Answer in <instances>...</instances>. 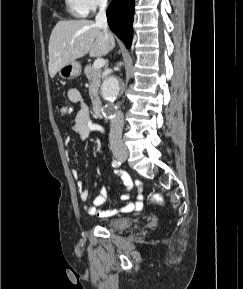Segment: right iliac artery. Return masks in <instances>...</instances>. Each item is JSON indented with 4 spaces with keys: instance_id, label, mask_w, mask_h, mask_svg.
Returning a JSON list of instances; mask_svg holds the SVG:
<instances>
[{
    "instance_id": "right-iliac-artery-1",
    "label": "right iliac artery",
    "mask_w": 243,
    "mask_h": 289,
    "mask_svg": "<svg viewBox=\"0 0 243 289\" xmlns=\"http://www.w3.org/2000/svg\"><path fill=\"white\" fill-rule=\"evenodd\" d=\"M120 165H121L120 161H118V160H113L112 161V166L113 167H119Z\"/></svg>"
}]
</instances>
